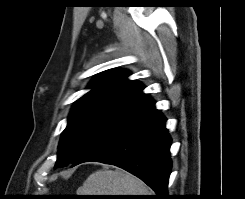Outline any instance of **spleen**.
Here are the masks:
<instances>
[{
    "label": "spleen",
    "mask_w": 245,
    "mask_h": 199,
    "mask_svg": "<svg viewBox=\"0 0 245 199\" xmlns=\"http://www.w3.org/2000/svg\"><path fill=\"white\" fill-rule=\"evenodd\" d=\"M77 193L78 195H152L141 180L122 170H98L92 173Z\"/></svg>",
    "instance_id": "obj_1"
}]
</instances>
